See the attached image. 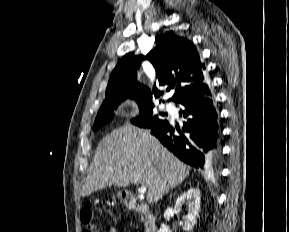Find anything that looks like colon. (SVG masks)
<instances>
[{"mask_svg":"<svg viewBox=\"0 0 289 232\" xmlns=\"http://www.w3.org/2000/svg\"><path fill=\"white\" fill-rule=\"evenodd\" d=\"M81 222L84 224L82 232H97V228L93 223L94 215L90 204H86L80 213Z\"/></svg>","mask_w":289,"mask_h":232,"instance_id":"1","label":"colon"}]
</instances>
